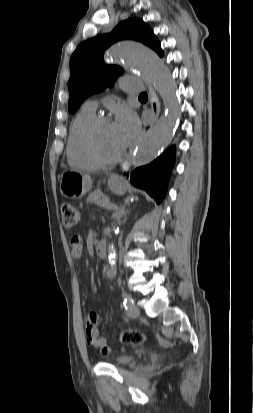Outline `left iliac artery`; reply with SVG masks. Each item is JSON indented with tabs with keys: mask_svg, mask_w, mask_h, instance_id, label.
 I'll return each mask as SVG.
<instances>
[{
	"mask_svg": "<svg viewBox=\"0 0 253 413\" xmlns=\"http://www.w3.org/2000/svg\"><path fill=\"white\" fill-rule=\"evenodd\" d=\"M132 304H134L133 299L129 296V295H124L123 296V306L128 309L129 307L132 306Z\"/></svg>",
	"mask_w": 253,
	"mask_h": 413,
	"instance_id": "44dca946",
	"label": "left iliac artery"
}]
</instances>
